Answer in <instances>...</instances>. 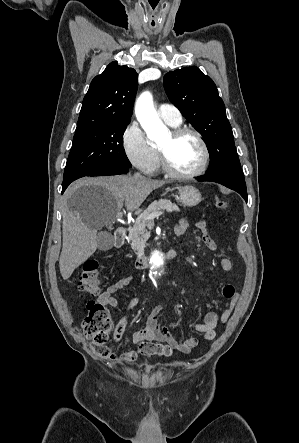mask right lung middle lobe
Instances as JSON below:
<instances>
[{
    "label": "right lung middle lobe",
    "mask_w": 299,
    "mask_h": 443,
    "mask_svg": "<svg viewBox=\"0 0 299 443\" xmlns=\"http://www.w3.org/2000/svg\"><path fill=\"white\" fill-rule=\"evenodd\" d=\"M130 121H108L75 131L63 184L116 166L131 167L122 138Z\"/></svg>",
    "instance_id": "dd1d6c3e"
}]
</instances>
